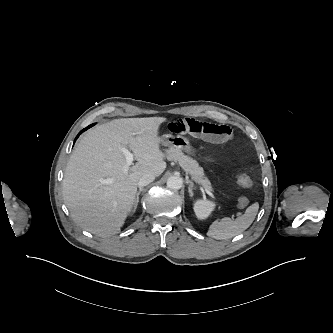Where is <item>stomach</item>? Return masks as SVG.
I'll list each match as a JSON object with an SVG mask.
<instances>
[{
	"label": "stomach",
	"instance_id": "0dacf381",
	"mask_svg": "<svg viewBox=\"0 0 333 333\" xmlns=\"http://www.w3.org/2000/svg\"><path fill=\"white\" fill-rule=\"evenodd\" d=\"M161 144L168 148H175L180 151H185L187 153L192 152L189 140L183 136H174L171 134L163 135L161 138Z\"/></svg>",
	"mask_w": 333,
	"mask_h": 333
}]
</instances>
